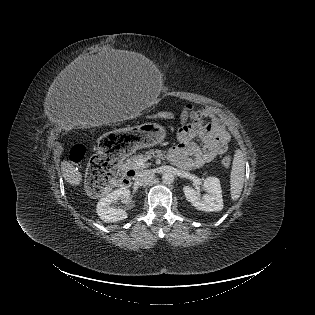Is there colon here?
Segmentation results:
<instances>
[{"instance_id": "colon-1", "label": "colon", "mask_w": 315, "mask_h": 315, "mask_svg": "<svg viewBox=\"0 0 315 315\" xmlns=\"http://www.w3.org/2000/svg\"><path fill=\"white\" fill-rule=\"evenodd\" d=\"M172 114L169 112H164L158 115V118L169 119ZM86 150L82 145H75L70 153V159L73 163H80L84 156ZM222 164L225 167L230 166L231 157L225 156L222 159ZM117 160L116 158H110L102 153L95 155L88 166L86 174V186L88 191L92 195H102L105 193L113 184L117 177Z\"/></svg>"}]
</instances>
